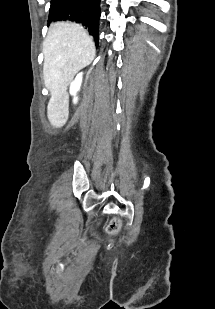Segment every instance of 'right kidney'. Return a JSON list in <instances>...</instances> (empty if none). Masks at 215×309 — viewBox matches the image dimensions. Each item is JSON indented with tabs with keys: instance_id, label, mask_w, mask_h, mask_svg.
Returning a JSON list of instances; mask_svg holds the SVG:
<instances>
[{
	"instance_id": "obj_1",
	"label": "right kidney",
	"mask_w": 215,
	"mask_h": 309,
	"mask_svg": "<svg viewBox=\"0 0 215 309\" xmlns=\"http://www.w3.org/2000/svg\"><path fill=\"white\" fill-rule=\"evenodd\" d=\"M82 78H83V72H79V74H77L75 80H73V82H71V84H70L69 92H70V94H73V96H74L73 102H77V100H78V96H76V92H78V90H80Z\"/></svg>"
}]
</instances>
